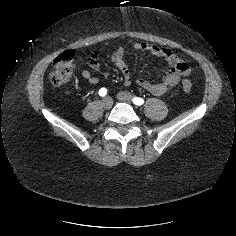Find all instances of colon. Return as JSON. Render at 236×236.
Listing matches in <instances>:
<instances>
[{"label":"colon","mask_w":236,"mask_h":236,"mask_svg":"<svg viewBox=\"0 0 236 236\" xmlns=\"http://www.w3.org/2000/svg\"><path fill=\"white\" fill-rule=\"evenodd\" d=\"M74 66V54L72 52H65L59 55L54 60L49 75L51 84L61 86L67 83L73 74ZM181 85L186 93H189L192 89V83L187 79L183 80Z\"/></svg>","instance_id":"5ec220e1"}]
</instances>
